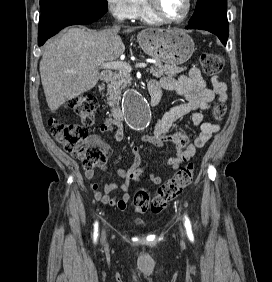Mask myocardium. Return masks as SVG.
I'll return each mask as SVG.
<instances>
[{"instance_id":"f54148a6","label":"myocardium","mask_w":272,"mask_h":282,"mask_svg":"<svg viewBox=\"0 0 272 282\" xmlns=\"http://www.w3.org/2000/svg\"><path fill=\"white\" fill-rule=\"evenodd\" d=\"M145 7L147 11L150 14H152L154 17H156L158 20L165 23L178 24L184 22L190 16L193 5H192V0H186V11L179 18H170L166 16L165 13L159 7L157 0H146Z\"/></svg>"}]
</instances>
